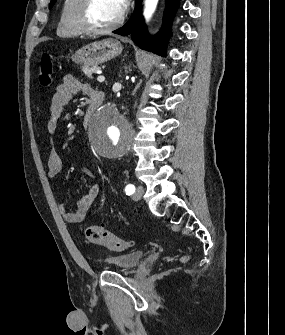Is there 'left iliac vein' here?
<instances>
[{
    "label": "left iliac vein",
    "mask_w": 285,
    "mask_h": 335,
    "mask_svg": "<svg viewBox=\"0 0 285 335\" xmlns=\"http://www.w3.org/2000/svg\"><path fill=\"white\" fill-rule=\"evenodd\" d=\"M143 194H144L143 186L138 185L132 197L134 200H140Z\"/></svg>",
    "instance_id": "obj_1"
}]
</instances>
